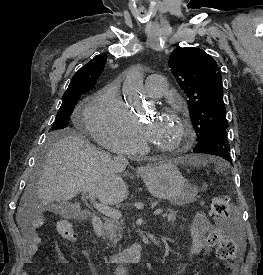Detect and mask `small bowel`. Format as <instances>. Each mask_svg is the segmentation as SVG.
Instances as JSON below:
<instances>
[{
	"instance_id": "small-bowel-1",
	"label": "small bowel",
	"mask_w": 263,
	"mask_h": 275,
	"mask_svg": "<svg viewBox=\"0 0 263 275\" xmlns=\"http://www.w3.org/2000/svg\"><path fill=\"white\" fill-rule=\"evenodd\" d=\"M215 232L216 228L209 221L207 216L203 212L197 213L189 226V234L191 239L190 255L194 256L202 252L204 253V255H209L212 249L210 238ZM27 233L30 235L31 245L28 249L25 262L29 263L32 260V257L36 251V246L40 239L33 230H28ZM20 275L29 274L26 272H22ZM171 275H176V273H172ZM231 275H235V268H233V272L231 273Z\"/></svg>"
}]
</instances>
